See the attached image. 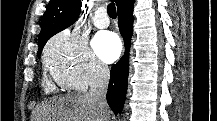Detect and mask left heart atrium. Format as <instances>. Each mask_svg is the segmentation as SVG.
<instances>
[{
  "mask_svg": "<svg viewBox=\"0 0 217 121\" xmlns=\"http://www.w3.org/2000/svg\"><path fill=\"white\" fill-rule=\"evenodd\" d=\"M96 55L104 62H112L121 53V44L118 37L112 32H100L93 41Z\"/></svg>",
  "mask_w": 217,
  "mask_h": 121,
  "instance_id": "39dd6f15",
  "label": "left heart atrium"
}]
</instances>
